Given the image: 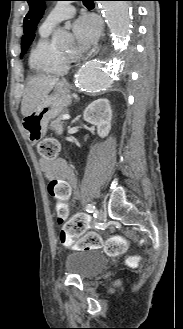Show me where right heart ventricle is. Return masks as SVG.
I'll list each match as a JSON object with an SVG mask.
<instances>
[{
	"mask_svg": "<svg viewBox=\"0 0 183 329\" xmlns=\"http://www.w3.org/2000/svg\"><path fill=\"white\" fill-rule=\"evenodd\" d=\"M50 32L40 31V37L31 49L30 68L41 74H61L66 69L61 64L60 53L49 39Z\"/></svg>",
	"mask_w": 183,
	"mask_h": 329,
	"instance_id": "1",
	"label": "right heart ventricle"
}]
</instances>
